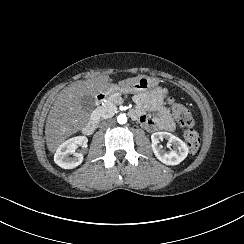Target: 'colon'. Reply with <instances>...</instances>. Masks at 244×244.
<instances>
[{
  "label": "colon",
  "instance_id": "1",
  "mask_svg": "<svg viewBox=\"0 0 244 244\" xmlns=\"http://www.w3.org/2000/svg\"><path fill=\"white\" fill-rule=\"evenodd\" d=\"M167 104L173 109L176 110V119L179 121L180 128L182 129L183 137L188 139L190 151L192 154L200 150V142L197 139L196 134L198 130L194 127V120L192 113L183 108L181 104L174 102L172 98L167 100Z\"/></svg>",
  "mask_w": 244,
  "mask_h": 244
}]
</instances>
